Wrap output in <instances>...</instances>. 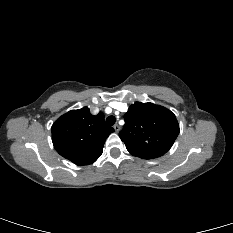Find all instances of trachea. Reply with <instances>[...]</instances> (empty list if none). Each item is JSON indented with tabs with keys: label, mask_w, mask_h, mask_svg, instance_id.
<instances>
[{
	"label": "trachea",
	"mask_w": 233,
	"mask_h": 233,
	"mask_svg": "<svg viewBox=\"0 0 233 233\" xmlns=\"http://www.w3.org/2000/svg\"><path fill=\"white\" fill-rule=\"evenodd\" d=\"M115 121H116V119H115L114 116H108V117L106 118V122H107V124L110 125V126L114 125V124H115Z\"/></svg>",
	"instance_id": "1"
}]
</instances>
